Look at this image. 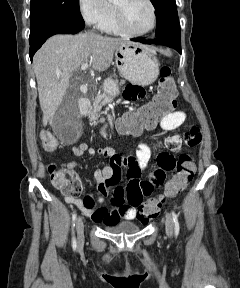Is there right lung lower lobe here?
Here are the masks:
<instances>
[{"label": "right lung lower lobe", "mask_w": 240, "mask_h": 288, "mask_svg": "<svg viewBox=\"0 0 240 288\" xmlns=\"http://www.w3.org/2000/svg\"><path fill=\"white\" fill-rule=\"evenodd\" d=\"M84 27L85 24H73L68 22H56L45 26L32 40H29L31 61L35 52L50 36L55 34H75Z\"/></svg>", "instance_id": "1"}]
</instances>
